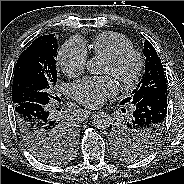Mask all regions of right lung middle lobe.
<instances>
[{
    "label": "right lung middle lobe",
    "instance_id": "dd1d6c3e",
    "mask_svg": "<svg viewBox=\"0 0 184 184\" xmlns=\"http://www.w3.org/2000/svg\"><path fill=\"white\" fill-rule=\"evenodd\" d=\"M57 39L49 34L44 41H34L18 58L12 84L14 105L31 101L48 104L51 90L57 82L55 58ZM75 146V131L65 126L58 133L56 142L41 151L32 153L46 163L57 164L68 160Z\"/></svg>",
    "mask_w": 184,
    "mask_h": 184
}]
</instances>
